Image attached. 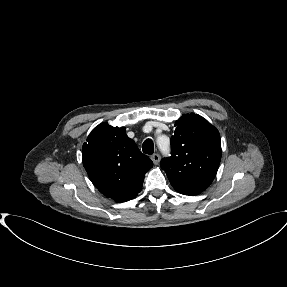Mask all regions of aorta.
I'll list each match as a JSON object with an SVG mask.
<instances>
[{"label": "aorta", "instance_id": "aorta-1", "mask_svg": "<svg viewBox=\"0 0 287 287\" xmlns=\"http://www.w3.org/2000/svg\"><path fill=\"white\" fill-rule=\"evenodd\" d=\"M157 145L163 153H166L169 150V139L165 136H159L157 138Z\"/></svg>", "mask_w": 287, "mask_h": 287}]
</instances>
